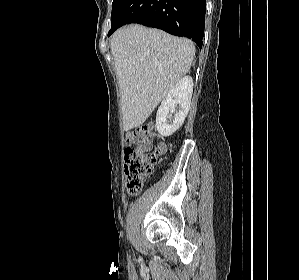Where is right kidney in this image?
<instances>
[{"label": "right kidney", "mask_w": 299, "mask_h": 280, "mask_svg": "<svg viewBox=\"0 0 299 280\" xmlns=\"http://www.w3.org/2000/svg\"><path fill=\"white\" fill-rule=\"evenodd\" d=\"M192 92L193 79L185 76L164 97L156 115V127L161 136L169 137L182 126L190 109ZM172 113L173 122L168 124L167 117Z\"/></svg>", "instance_id": "ca27d5eb"}]
</instances>
